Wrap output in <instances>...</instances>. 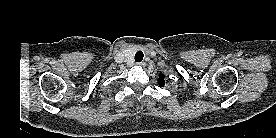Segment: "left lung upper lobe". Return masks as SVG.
Here are the masks:
<instances>
[{
  "label": "left lung upper lobe",
  "instance_id": "left-lung-upper-lobe-1",
  "mask_svg": "<svg viewBox=\"0 0 276 138\" xmlns=\"http://www.w3.org/2000/svg\"><path fill=\"white\" fill-rule=\"evenodd\" d=\"M164 75L163 74H160L159 75V79H158V84H159V86H164L165 85V80H164Z\"/></svg>",
  "mask_w": 276,
  "mask_h": 138
}]
</instances>
